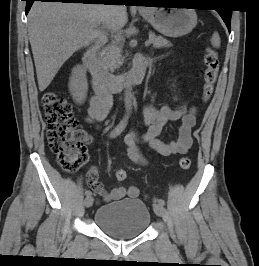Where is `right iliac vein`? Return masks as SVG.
<instances>
[{
    "instance_id": "63e3f726",
    "label": "right iliac vein",
    "mask_w": 259,
    "mask_h": 266,
    "mask_svg": "<svg viewBox=\"0 0 259 266\" xmlns=\"http://www.w3.org/2000/svg\"><path fill=\"white\" fill-rule=\"evenodd\" d=\"M93 204V197H86L84 201L85 207H90Z\"/></svg>"
}]
</instances>
